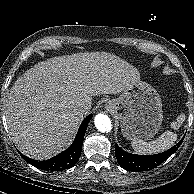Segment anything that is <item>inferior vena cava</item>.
Returning <instances> with one entry per match:
<instances>
[{
  "label": "inferior vena cava",
  "instance_id": "obj_1",
  "mask_svg": "<svg viewBox=\"0 0 194 194\" xmlns=\"http://www.w3.org/2000/svg\"><path fill=\"white\" fill-rule=\"evenodd\" d=\"M79 109H80V111L85 112L88 109V107H87V105L82 104V105H80Z\"/></svg>",
  "mask_w": 194,
  "mask_h": 194
}]
</instances>
